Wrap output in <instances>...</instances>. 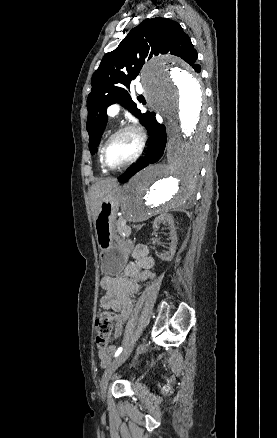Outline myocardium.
<instances>
[{
  "instance_id": "1",
  "label": "myocardium",
  "mask_w": 277,
  "mask_h": 438,
  "mask_svg": "<svg viewBox=\"0 0 277 438\" xmlns=\"http://www.w3.org/2000/svg\"><path fill=\"white\" fill-rule=\"evenodd\" d=\"M123 134H131L136 138L137 149H136L134 155L127 162H125L119 166H111L108 163L107 157H106L107 149H108L109 145L111 144V142L115 138H117ZM144 146H145V139H144V136H143L142 132L140 131V129L134 125H125L123 127H120L119 129H117L115 132H113L105 141V143L101 149V162L104 165V167L110 171L122 170L124 168L129 167L130 165H132L134 162H136L139 159V157L141 156V154L143 152Z\"/></svg>"
}]
</instances>
